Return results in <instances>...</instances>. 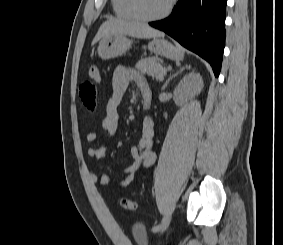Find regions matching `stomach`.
<instances>
[{"mask_svg": "<svg viewBox=\"0 0 283 245\" xmlns=\"http://www.w3.org/2000/svg\"><path fill=\"white\" fill-rule=\"evenodd\" d=\"M132 43L133 41L123 34L107 35L99 43L98 55L104 60L115 58L125 54L131 48ZM148 49L156 55H161L175 61L183 59L182 51L164 39L154 38L149 42Z\"/></svg>", "mask_w": 283, "mask_h": 245, "instance_id": "1", "label": "stomach"}]
</instances>
